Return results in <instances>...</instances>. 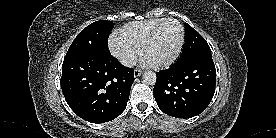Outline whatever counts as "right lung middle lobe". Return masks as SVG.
Returning <instances> with one entry per match:
<instances>
[{
	"mask_svg": "<svg viewBox=\"0 0 276 138\" xmlns=\"http://www.w3.org/2000/svg\"><path fill=\"white\" fill-rule=\"evenodd\" d=\"M113 26L114 24L108 20L88 25L74 39L65 57L88 51L109 54L107 41Z\"/></svg>",
	"mask_w": 276,
	"mask_h": 138,
	"instance_id": "obj_1",
	"label": "right lung middle lobe"
}]
</instances>
